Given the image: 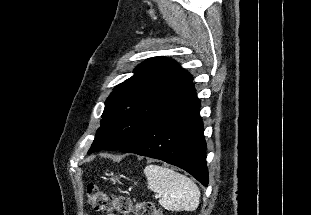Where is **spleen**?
<instances>
[{"instance_id": "1", "label": "spleen", "mask_w": 311, "mask_h": 215, "mask_svg": "<svg viewBox=\"0 0 311 215\" xmlns=\"http://www.w3.org/2000/svg\"><path fill=\"white\" fill-rule=\"evenodd\" d=\"M144 173L148 188L162 195L159 203L166 210L194 211L199 206L200 190L187 176L153 164L146 166Z\"/></svg>"}]
</instances>
